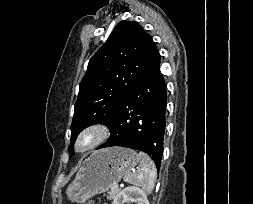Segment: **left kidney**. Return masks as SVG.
Segmentation results:
<instances>
[{"label": "left kidney", "mask_w": 253, "mask_h": 204, "mask_svg": "<svg viewBox=\"0 0 253 204\" xmlns=\"http://www.w3.org/2000/svg\"><path fill=\"white\" fill-rule=\"evenodd\" d=\"M125 202L135 204H149L146 192L134 186L126 187L121 192H119L115 197L113 204H124Z\"/></svg>", "instance_id": "5707ae66"}]
</instances>
